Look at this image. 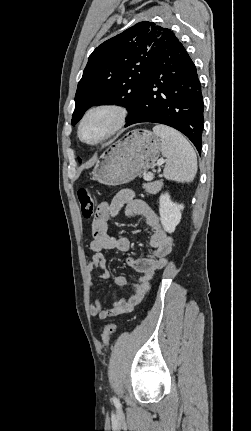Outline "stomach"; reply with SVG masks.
<instances>
[{"instance_id": "stomach-1", "label": "stomach", "mask_w": 251, "mask_h": 431, "mask_svg": "<svg viewBox=\"0 0 251 431\" xmlns=\"http://www.w3.org/2000/svg\"><path fill=\"white\" fill-rule=\"evenodd\" d=\"M161 151V139L149 130L136 129L109 146L97 160L92 180L108 186L130 182L150 169Z\"/></svg>"}]
</instances>
